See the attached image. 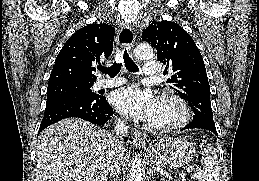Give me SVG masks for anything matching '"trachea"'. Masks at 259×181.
<instances>
[{
	"label": "trachea",
	"instance_id": "obj_1",
	"mask_svg": "<svg viewBox=\"0 0 259 181\" xmlns=\"http://www.w3.org/2000/svg\"><path fill=\"white\" fill-rule=\"evenodd\" d=\"M123 59V63L125 67L130 71V72H138L139 69L137 65L134 63V61L130 58L129 54L127 53V50L125 49L120 55L119 59ZM122 66V62H115L113 65L110 67H101L99 70L102 73L108 74L111 78L115 77L117 74H119L120 69Z\"/></svg>",
	"mask_w": 259,
	"mask_h": 181
}]
</instances>
